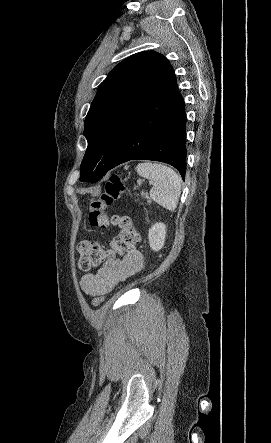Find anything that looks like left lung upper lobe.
I'll return each instance as SVG.
<instances>
[{
    "label": "left lung upper lobe",
    "mask_w": 271,
    "mask_h": 443,
    "mask_svg": "<svg viewBox=\"0 0 271 443\" xmlns=\"http://www.w3.org/2000/svg\"><path fill=\"white\" fill-rule=\"evenodd\" d=\"M168 65L160 53L140 52L120 62L100 84L85 119L88 147L80 181L97 182L110 170L132 117Z\"/></svg>",
    "instance_id": "left-lung-upper-lobe-1"
}]
</instances>
